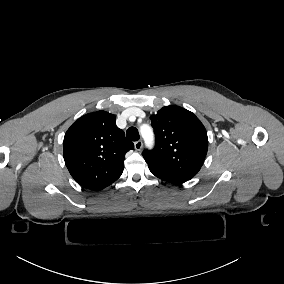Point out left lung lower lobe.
Here are the masks:
<instances>
[{"label":"left lung lower lobe","mask_w":284,"mask_h":284,"mask_svg":"<svg viewBox=\"0 0 284 284\" xmlns=\"http://www.w3.org/2000/svg\"><path fill=\"white\" fill-rule=\"evenodd\" d=\"M154 175L162 180H165L169 183L176 184V185L182 184L187 181V180L176 178V177H170V176L159 175V174H154Z\"/></svg>","instance_id":"0a47b994"}]
</instances>
